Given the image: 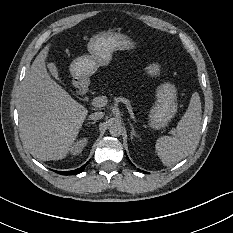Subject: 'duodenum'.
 <instances>
[{"instance_id": "1", "label": "duodenum", "mask_w": 233, "mask_h": 233, "mask_svg": "<svg viewBox=\"0 0 233 233\" xmlns=\"http://www.w3.org/2000/svg\"><path fill=\"white\" fill-rule=\"evenodd\" d=\"M75 88H76V93L78 95H84L87 93L89 89V80L85 77H77L74 80Z\"/></svg>"}]
</instances>
